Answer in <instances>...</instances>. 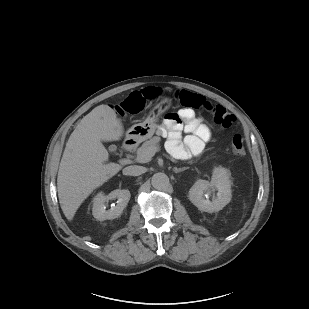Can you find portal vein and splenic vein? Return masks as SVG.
Listing matches in <instances>:
<instances>
[{
	"label": "portal vein and splenic vein",
	"instance_id": "obj_1",
	"mask_svg": "<svg viewBox=\"0 0 309 309\" xmlns=\"http://www.w3.org/2000/svg\"><path fill=\"white\" fill-rule=\"evenodd\" d=\"M158 148H150L148 151L144 153V156L146 157L147 161L151 160V157L154 156V154L157 152Z\"/></svg>",
	"mask_w": 309,
	"mask_h": 309
}]
</instances>
